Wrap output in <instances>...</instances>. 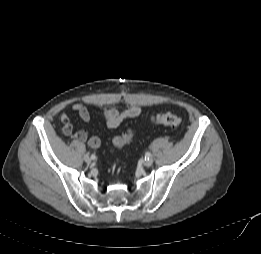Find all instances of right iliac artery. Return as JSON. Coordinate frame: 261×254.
I'll return each instance as SVG.
<instances>
[{
	"instance_id": "obj_1",
	"label": "right iliac artery",
	"mask_w": 261,
	"mask_h": 254,
	"mask_svg": "<svg viewBox=\"0 0 261 254\" xmlns=\"http://www.w3.org/2000/svg\"><path fill=\"white\" fill-rule=\"evenodd\" d=\"M91 158H92V159H95V155H92Z\"/></svg>"
}]
</instances>
